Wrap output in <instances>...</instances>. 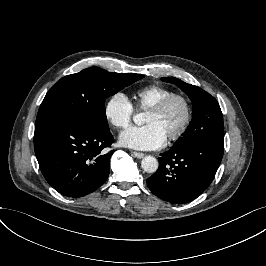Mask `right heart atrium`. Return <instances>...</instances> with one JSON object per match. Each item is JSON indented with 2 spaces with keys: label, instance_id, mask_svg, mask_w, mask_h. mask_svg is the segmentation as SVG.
<instances>
[{
  "label": "right heart atrium",
  "instance_id": "obj_1",
  "mask_svg": "<svg viewBox=\"0 0 266 266\" xmlns=\"http://www.w3.org/2000/svg\"><path fill=\"white\" fill-rule=\"evenodd\" d=\"M105 119L116 128H126L135 115V106L126 94L117 92L110 95L104 105Z\"/></svg>",
  "mask_w": 266,
  "mask_h": 266
}]
</instances>
